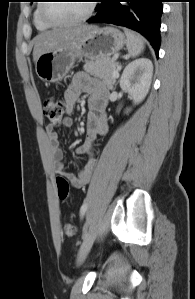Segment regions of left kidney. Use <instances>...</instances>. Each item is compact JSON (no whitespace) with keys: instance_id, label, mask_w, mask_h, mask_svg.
I'll return each mask as SVG.
<instances>
[{"instance_id":"obj_1","label":"left kidney","mask_w":195,"mask_h":299,"mask_svg":"<svg viewBox=\"0 0 195 299\" xmlns=\"http://www.w3.org/2000/svg\"><path fill=\"white\" fill-rule=\"evenodd\" d=\"M152 74L153 64L147 58L137 59L125 67L120 78V87L132 96L134 104L141 103L148 94Z\"/></svg>"}]
</instances>
